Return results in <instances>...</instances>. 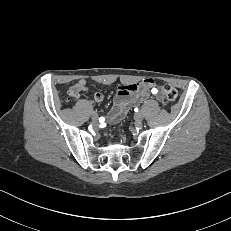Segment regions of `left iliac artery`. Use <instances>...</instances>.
Masks as SVG:
<instances>
[{
  "label": "left iliac artery",
  "instance_id": "obj_1",
  "mask_svg": "<svg viewBox=\"0 0 231 231\" xmlns=\"http://www.w3.org/2000/svg\"><path fill=\"white\" fill-rule=\"evenodd\" d=\"M151 92H152V94H157L158 90H157L156 88H153V89L151 90Z\"/></svg>",
  "mask_w": 231,
  "mask_h": 231
}]
</instances>
